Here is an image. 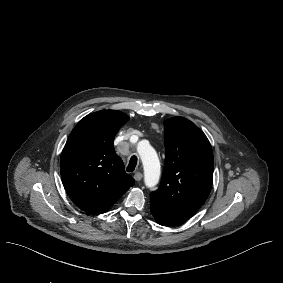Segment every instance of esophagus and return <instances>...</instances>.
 <instances>
[{
  "instance_id": "34e87169",
  "label": "esophagus",
  "mask_w": 283,
  "mask_h": 283,
  "mask_svg": "<svg viewBox=\"0 0 283 283\" xmlns=\"http://www.w3.org/2000/svg\"><path fill=\"white\" fill-rule=\"evenodd\" d=\"M142 178H143V174H142L141 172H136V173L134 174V179H135L136 181H140Z\"/></svg>"
}]
</instances>
